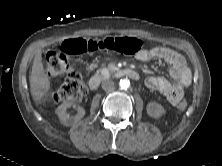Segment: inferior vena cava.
<instances>
[{"instance_id": "1", "label": "inferior vena cava", "mask_w": 222, "mask_h": 166, "mask_svg": "<svg viewBox=\"0 0 222 166\" xmlns=\"http://www.w3.org/2000/svg\"><path fill=\"white\" fill-rule=\"evenodd\" d=\"M102 88L105 91H111L114 89V82L110 79H106L102 82Z\"/></svg>"}]
</instances>
